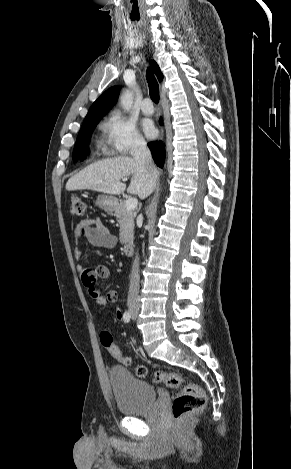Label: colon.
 Wrapping results in <instances>:
<instances>
[{"instance_id": "obj_1", "label": "colon", "mask_w": 291, "mask_h": 469, "mask_svg": "<svg viewBox=\"0 0 291 469\" xmlns=\"http://www.w3.org/2000/svg\"><path fill=\"white\" fill-rule=\"evenodd\" d=\"M70 213L74 217H84L87 213L86 202L80 197H73L70 202ZM93 303L98 308H103L106 305L101 296H95ZM100 341L112 357L122 361L125 365L132 364L131 359L124 356L113 343V338L109 332H101ZM135 372L137 376L142 378L149 375L147 367L143 365L136 366ZM153 380L155 383L178 390L171 404V414L177 421L192 412L202 409L206 404V395L202 388L197 384L186 382L182 375L178 373L158 370L153 373Z\"/></svg>"}]
</instances>
